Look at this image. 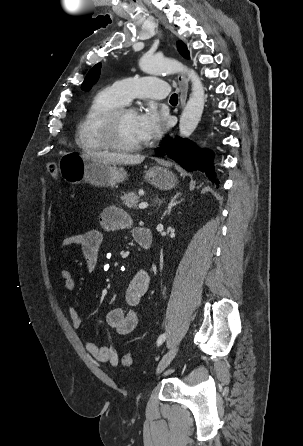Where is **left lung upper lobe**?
Wrapping results in <instances>:
<instances>
[{"label": "left lung upper lobe", "instance_id": "1", "mask_svg": "<svg viewBox=\"0 0 303 446\" xmlns=\"http://www.w3.org/2000/svg\"><path fill=\"white\" fill-rule=\"evenodd\" d=\"M179 52L186 58L189 57V52L184 43L178 42ZM101 63L96 64L86 75L81 87L83 90L91 89L92 85L97 82L100 75Z\"/></svg>", "mask_w": 303, "mask_h": 446}]
</instances>
